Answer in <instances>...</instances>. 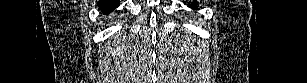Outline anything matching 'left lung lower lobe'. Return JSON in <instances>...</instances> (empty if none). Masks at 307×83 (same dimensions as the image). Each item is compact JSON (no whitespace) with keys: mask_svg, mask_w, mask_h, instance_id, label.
<instances>
[{"mask_svg":"<svg viewBox=\"0 0 307 83\" xmlns=\"http://www.w3.org/2000/svg\"><path fill=\"white\" fill-rule=\"evenodd\" d=\"M189 7L193 8V9H197V3L195 1H193L192 3L189 4Z\"/></svg>","mask_w":307,"mask_h":83,"instance_id":"left-lung-lower-lobe-1","label":"left lung lower lobe"}]
</instances>
